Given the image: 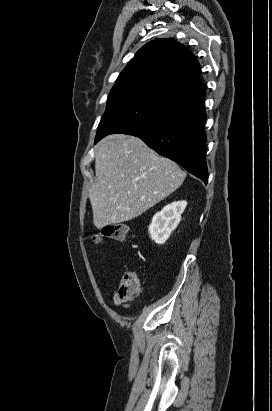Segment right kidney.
Listing matches in <instances>:
<instances>
[{"mask_svg":"<svg viewBox=\"0 0 272 411\" xmlns=\"http://www.w3.org/2000/svg\"><path fill=\"white\" fill-rule=\"evenodd\" d=\"M187 206L186 201L172 202L157 212L149 225L151 239L157 244H164L181 221V214Z\"/></svg>","mask_w":272,"mask_h":411,"instance_id":"ca27d5eb","label":"right kidney"}]
</instances>
